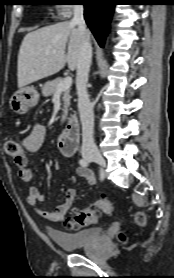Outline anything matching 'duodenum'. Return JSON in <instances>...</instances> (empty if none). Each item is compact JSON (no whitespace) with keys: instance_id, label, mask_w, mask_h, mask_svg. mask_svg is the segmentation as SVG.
Returning <instances> with one entry per match:
<instances>
[{"instance_id":"obj_1","label":"duodenum","mask_w":174,"mask_h":278,"mask_svg":"<svg viewBox=\"0 0 174 278\" xmlns=\"http://www.w3.org/2000/svg\"><path fill=\"white\" fill-rule=\"evenodd\" d=\"M79 135V123L76 117H71L57 139V145L65 156L74 154Z\"/></svg>"}]
</instances>
